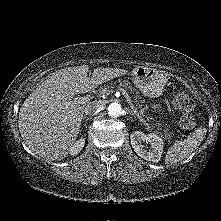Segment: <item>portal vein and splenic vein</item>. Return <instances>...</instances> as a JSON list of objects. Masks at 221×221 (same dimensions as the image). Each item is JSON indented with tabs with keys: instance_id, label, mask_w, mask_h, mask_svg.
<instances>
[{
	"instance_id": "portal-vein-and-splenic-vein-1",
	"label": "portal vein and splenic vein",
	"mask_w": 221,
	"mask_h": 221,
	"mask_svg": "<svg viewBox=\"0 0 221 221\" xmlns=\"http://www.w3.org/2000/svg\"><path fill=\"white\" fill-rule=\"evenodd\" d=\"M118 90H120V91L125 95V97L127 98V100L129 101V103H130V105H131V108H134L133 104H132L131 101H130V98H129L128 94L124 92V89H121V88H120V89H118ZM89 101H90V98L87 97V96H84V97H78V98H76V99H75L74 101H72V102L77 103V104H86V103H88ZM134 112H135V114L137 115V111L134 110ZM137 117H138V116H137ZM138 118H139V117H138ZM139 119H140V118H139ZM140 121H142L145 125L148 126V124L145 123L142 119H140Z\"/></svg>"
}]
</instances>
